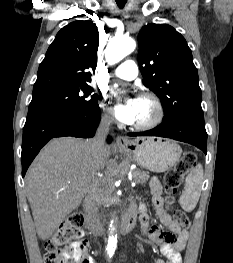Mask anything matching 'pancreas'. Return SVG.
Instances as JSON below:
<instances>
[{"mask_svg": "<svg viewBox=\"0 0 233 263\" xmlns=\"http://www.w3.org/2000/svg\"><path fill=\"white\" fill-rule=\"evenodd\" d=\"M133 178L136 183H146L149 179V173L142 170H134L133 171Z\"/></svg>", "mask_w": 233, "mask_h": 263, "instance_id": "pancreas-1", "label": "pancreas"}]
</instances>
